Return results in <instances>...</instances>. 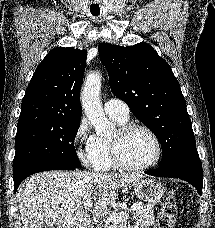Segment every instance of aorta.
I'll list each match as a JSON object with an SVG mask.
<instances>
[{"mask_svg":"<svg viewBox=\"0 0 215 228\" xmlns=\"http://www.w3.org/2000/svg\"><path fill=\"white\" fill-rule=\"evenodd\" d=\"M101 86L100 74H90L87 82L84 84L83 92L81 94V104L89 122H91L96 134L103 136L110 132L111 126L104 114L102 104L99 102V90Z\"/></svg>","mask_w":215,"mask_h":228,"instance_id":"1","label":"aorta"}]
</instances>
